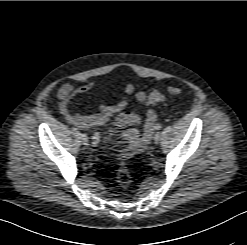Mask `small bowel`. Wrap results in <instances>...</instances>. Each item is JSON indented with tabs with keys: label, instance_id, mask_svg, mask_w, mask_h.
Returning a JSON list of instances; mask_svg holds the SVG:
<instances>
[{
	"label": "small bowel",
	"instance_id": "obj_1",
	"mask_svg": "<svg viewBox=\"0 0 247 245\" xmlns=\"http://www.w3.org/2000/svg\"><path fill=\"white\" fill-rule=\"evenodd\" d=\"M94 89L104 91L106 85L99 84L96 81L88 82L82 86L75 87L73 83L66 82L58 90L59 111L64 119L79 129L86 130L91 126H101L106 124L110 119L119 114L113 125V133L117 137L125 139L129 146L120 154L124 158L143 151L150 143L153 135L154 124L157 114L152 108H147L150 104L147 94L144 91L135 93L134 84L126 82L124 85L125 97L115 106L105 104L99 105V112L94 115L82 116L70 109V102L73 98L86 94ZM135 93L136 101L145 109L144 117L137 113L125 112L124 109L128 105V96ZM143 123V133L140 135L135 128L126 131H120L125 125H138Z\"/></svg>",
	"mask_w": 247,
	"mask_h": 245
}]
</instances>
